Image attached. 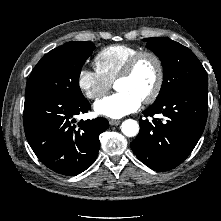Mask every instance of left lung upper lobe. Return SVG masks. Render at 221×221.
Listing matches in <instances>:
<instances>
[{
    "label": "left lung upper lobe",
    "instance_id": "obj_1",
    "mask_svg": "<svg viewBox=\"0 0 221 221\" xmlns=\"http://www.w3.org/2000/svg\"><path fill=\"white\" fill-rule=\"evenodd\" d=\"M147 48L161 60L164 79L158 103L177 91L193 85H207V73L193 52L169 38H146Z\"/></svg>",
    "mask_w": 221,
    "mask_h": 221
}]
</instances>
